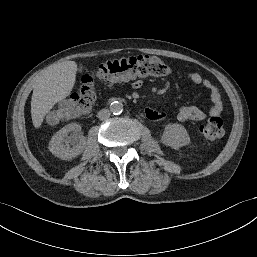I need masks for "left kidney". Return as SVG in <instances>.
I'll return each mask as SVG.
<instances>
[{
    "label": "left kidney",
    "mask_w": 257,
    "mask_h": 257,
    "mask_svg": "<svg viewBox=\"0 0 257 257\" xmlns=\"http://www.w3.org/2000/svg\"><path fill=\"white\" fill-rule=\"evenodd\" d=\"M162 142L166 146L178 149L190 143V137L186 129L180 124H168L162 135Z\"/></svg>",
    "instance_id": "1"
}]
</instances>
